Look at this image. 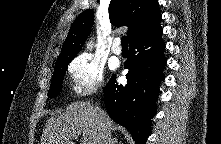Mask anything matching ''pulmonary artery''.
<instances>
[{
	"instance_id": "1",
	"label": "pulmonary artery",
	"mask_w": 221,
	"mask_h": 144,
	"mask_svg": "<svg viewBox=\"0 0 221 144\" xmlns=\"http://www.w3.org/2000/svg\"><path fill=\"white\" fill-rule=\"evenodd\" d=\"M112 52L116 55H120L122 53V49L120 47V39L119 38H116L114 41H113V44H112V48H111Z\"/></svg>"
}]
</instances>
